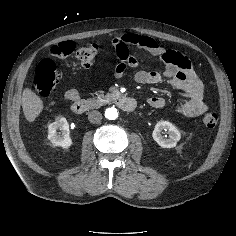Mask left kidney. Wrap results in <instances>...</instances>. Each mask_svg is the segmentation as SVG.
I'll list each match as a JSON object with an SVG mask.
<instances>
[{
	"instance_id": "5707ae66",
	"label": "left kidney",
	"mask_w": 236,
	"mask_h": 236,
	"mask_svg": "<svg viewBox=\"0 0 236 236\" xmlns=\"http://www.w3.org/2000/svg\"><path fill=\"white\" fill-rule=\"evenodd\" d=\"M163 130L168 131L169 138H163V136L161 135ZM152 137L162 148H173L181 139V134L172 123L168 121H159L155 125Z\"/></svg>"
}]
</instances>
